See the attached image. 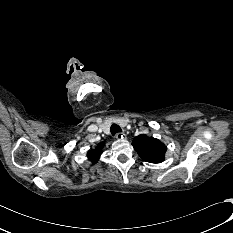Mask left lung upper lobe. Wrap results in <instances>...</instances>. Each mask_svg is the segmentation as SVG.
Masks as SVG:
<instances>
[{
	"label": "left lung upper lobe",
	"mask_w": 233,
	"mask_h": 233,
	"mask_svg": "<svg viewBox=\"0 0 233 233\" xmlns=\"http://www.w3.org/2000/svg\"><path fill=\"white\" fill-rule=\"evenodd\" d=\"M132 145L142 160L150 163L164 161L167 148L160 140L141 134L133 139Z\"/></svg>",
	"instance_id": "1"
}]
</instances>
